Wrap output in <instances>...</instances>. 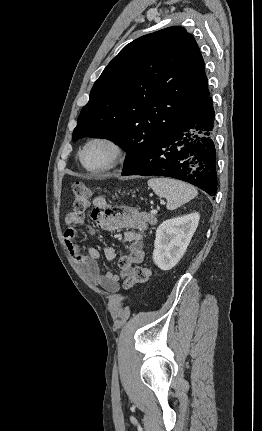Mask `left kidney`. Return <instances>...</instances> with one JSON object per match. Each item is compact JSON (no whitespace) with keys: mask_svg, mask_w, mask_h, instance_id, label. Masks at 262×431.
Returning a JSON list of instances; mask_svg holds the SVG:
<instances>
[{"mask_svg":"<svg viewBox=\"0 0 262 431\" xmlns=\"http://www.w3.org/2000/svg\"><path fill=\"white\" fill-rule=\"evenodd\" d=\"M200 215L192 213L162 222L156 230L153 261L164 271L173 268L182 258L194 235Z\"/></svg>","mask_w":262,"mask_h":431,"instance_id":"1","label":"left kidney"}]
</instances>
